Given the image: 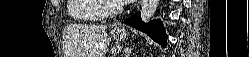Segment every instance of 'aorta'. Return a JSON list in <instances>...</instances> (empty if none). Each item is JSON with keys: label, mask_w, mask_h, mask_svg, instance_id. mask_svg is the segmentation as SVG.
<instances>
[{"label": "aorta", "mask_w": 249, "mask_h": 57, "mask_svg": "<svg viewBox=\"0 0 249 57\" xmlns=\"http://www.w3.org/2000/svg\"><path fill=\"white\" fill-rule=\"evenodd\" d=\"M159 0H143L141 7V20L145 23L150 21L158 7Z\"/></svg>", "instance_id": "762f6f07"}]
</instances>
